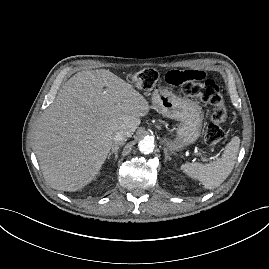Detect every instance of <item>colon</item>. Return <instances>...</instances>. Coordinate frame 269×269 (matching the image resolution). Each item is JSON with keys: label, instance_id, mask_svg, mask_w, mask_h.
Wrapping results in <instances>:
<instances>
[{"label": "colon", "instance_id": "5ec220e1", "mask_svg": "<svg viewBox=\"0 0 269 269\" xmlns=\"http://www.w3.org/2000/svg\"><path fill=\"white\" fill-rule=\"evenodd\" d=\"M176 71V70H175ZM159 80V73L153 68H145L137 73L129 76V81L137 89L148 91L155 87ZM179 85L183 93L187 96L198 98L202 103H208L212 106L210 115V123L205 131V142L209 145H217L221 143L225 136L222 127L227 120L228 112L224 104L223 95L217 82L207 77L205 80H186L179 83H171Z\"/></svg>", "mask_w": 269, "mask_h": 269}]
</instances>
